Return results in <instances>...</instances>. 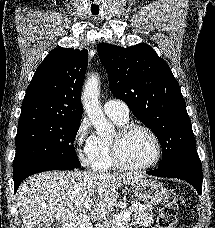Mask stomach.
Instances as JSON below:
<instances>
[{"label":"stomach","mask_w":215,"mask_h":228,"mask_svg":"<svg viewBox=\"0 0 215 228\" xmlns=\"http://www.w3.org/2000/svg\"><path fill=\"white\" fill-rule=\"evenodd\" d=\"M133 188V194L141 200V202H147L151 206H156L160 204L162 198L166 196V188L162 186L159 180H140V182H133L131 184Z\"/></svg>","instance_id":"0dacf381"}]
</instances>
